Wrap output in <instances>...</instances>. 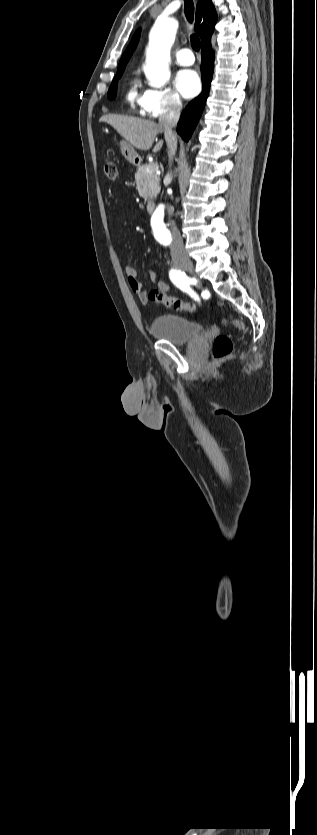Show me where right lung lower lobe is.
<instances>
[{
	"mask_svg": "<svg viewBox=\"0 0 317 835\" xmlns=\"http://www.w3.org/2000/svg\"><path fill=\"white\" fill-rule=\"evenodd\" d=\"M201 51V72L203 91L198 97L193 99L183 110L180 121L177 126V133L180 134L185 141H188V139L191 137V134L194 131L200 119L209 94V89L214 70V52L211 46V38L202 43Z\"/></svg>",
	"mask_w": 317,
	"mask_h": 835,
	"instance_id": "98d812e1",
	"label": "right lung lower lobe"
}]
</instances>
